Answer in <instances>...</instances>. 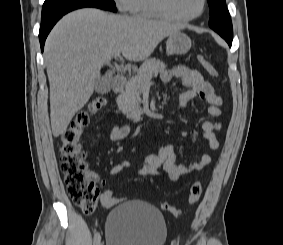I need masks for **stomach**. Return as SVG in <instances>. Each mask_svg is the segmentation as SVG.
<instances>
[{"label":"stomach","mask_w":283,"mask_h":245,"mask_svg":"<svg viewBox=\"0 0 283 245\" xmlns=\"http://www.w3.org/2000/svg\"><path fill=\"white\" fill-rule=\"evenodd\" d=\"M191 45V39L185 33L177 31L169 35L166 41V51L170 55H183L190 50Z\"/></svg>","instance_id":"0dacf381"}]
</instances>
